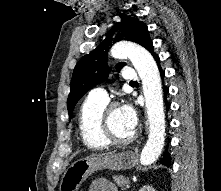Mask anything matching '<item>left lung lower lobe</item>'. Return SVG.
Masks as SVG:
<instances>
[{
	"label": "left lung lower lobe",
	"instance_id": "obj_1",
	"mask_svg": "<svg viewBox=\"0 0 221 191\" xmlns=\"http://www.w3.org/2000/svg\"><path fill=\"white\" fill-rule=\"evenodd\" d=\"M147 50L153 55V57L155 58L156 62H157L158 65H159V61H160V60H159L158 55L153 52V44H152V43L149 45V47L147 48ZM159 69H160L161 77L163 78L164 75H165V73H164V71L161 69L160 65H159ZM168 91H169L168 87L164 86V93H165L164 95H165V96L168 94ZM166 106H167V109H169L170 104H169V103H166ZM160 161H161V163H162L163 165H165V166H167V167L170 166L171 161H170V155H169V153H168V146L166 147L164 156H163V158H161Z\"/></svg>",
	"mask_w": 221,
	"mask_h": 191
}]
</instances>
